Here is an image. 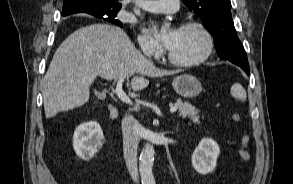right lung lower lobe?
<instances>
[{"label": "right lung lower lobe", "mask_w": 293, "mask_h": 184, "mask_svg": "<svg viewBox=\"0 0 293 184\" xmlns=\"http://www.w3.org/2000/svg\"><path fill=\"white\" fill-rule=\"evenodd\" d=\"M107 21H109V20H107ZM109 22H112V23H114V24H116V25H118L120 27L123 26L122 23H120L119 21L118 22H116V21H109Z\"/></svg>", "instance_id": "1"}]
</instances>
